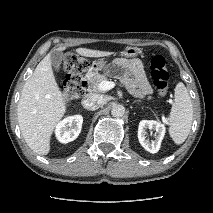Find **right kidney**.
I'll return each mask as SVG.
<instances>
[{"label":"right kidney","instance_id":"1","mask_svg":"<svg viewBox=\"0 0 213 213\" xmlns=\"http://www.w3.org/2000/svg\"><path fill=\"white\" fill-rule=\"evenodd\" d=\"M83 117L81 115L69 116L56 126V137L61 143L75 140L81 132Z\"/></svg>","mask_w":213,"mask_h":213}]
</instances>
